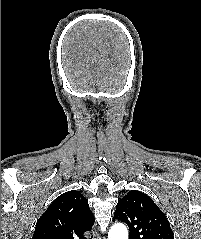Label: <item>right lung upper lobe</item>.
Masks as SVG:
<instances>
[{
    "label": "right lung upper lobe",
    "mask_w": 201,
    "mask_h": 239,
    "mask_svg": "<svg viewBox=\"0 0 201 239\" xmlns=\"http://www.w3.org/2000/svg\"><path fill=\"white\" fill-rule=\"evenodd\" d=\"M94 217L79 191L60 195L37 221L32 239H86Z\"/></svg>",
    "instance_id": "obj_1"
}]
</instances>
